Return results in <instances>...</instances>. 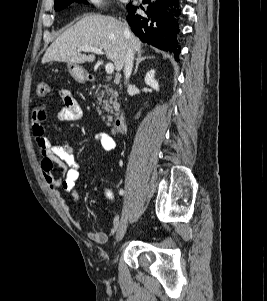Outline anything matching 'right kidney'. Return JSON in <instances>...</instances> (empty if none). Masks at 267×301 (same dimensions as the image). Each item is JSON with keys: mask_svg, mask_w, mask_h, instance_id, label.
Masks as SVG:
<instances>
[{"mask_svg": "<svg viewBox=\"0 0 267 301\" xmlns=\"http://www.w3.org/2000/svg\"><path fill=\"white\" fill-rule=\"evenodd\" d=\"M145 83H146V85L152 87L156 91H159V84H158L157 80H155V70L154 69H152L146 73Z\"/></svg>", "mask_w": 267, "mask_h": 301, "instance_id": "1", "label": "right kidney"}]
</instances>
